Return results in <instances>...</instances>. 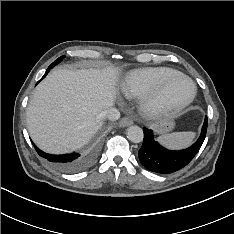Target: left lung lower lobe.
I'll list each match as a JSON object with an SVG mask.
<instances>
[{
  "instance_id": "1",
  "label": "left lung lower lobe",
  "mask_w": 234,
  "mask_h": 234,
  "mask_svg": "<svg viewBox=\"0 0 234 234\" xmlns=\"http://www.w3.org/2000/svg\"><path fill=\"white\" fill-rule=\"evenodd\" d=\"M208 119L205 117L199 139L189 148L180 151H171L162 147L154 140L152 130L144 128V140L138 152L141 164L148 170L156 173H173L185 167L197 154L204 142L207 132Z\"/></svg>"
}]
</instances>
